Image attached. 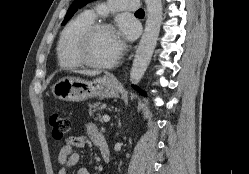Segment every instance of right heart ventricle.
<instances>
[{
	"mask_svg": "<svg viewBox=\"0 0 249 174\" xmlns=\"http://www.w3.org/2000/svg\"><path fill=\"white\" fill-rule=\"evenodd\" d=\"M94 23L87 13L72 19L64 28L57 47L58 63L65 69H76L83 64L76 54V47L83 32Z\"/></svg>",
	"mask_w": 249,
	"mask_h": 174,
	"instance_id": "obj_1",
	"label": "right heart ventricle"
}]
</instances>
